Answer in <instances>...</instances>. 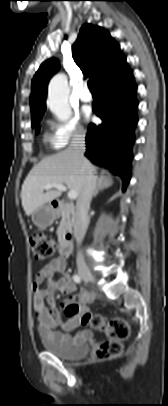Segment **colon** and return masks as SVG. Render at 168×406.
<instances>
[{
  "instance_id": "1",
  "label": "colon",
  "mask_w": 168,
  "mask_h": 406,
  "mask_svg": "<svg viewBox=\"0 0 168 406\" xmlns=\"http://www.w3.org/2000/svg\"><path fill=\"white\" fill-rule=\"evenodd\" d=\"M32 257L35 261H44L55 253V240L43 233H33L29 237ZM68 317L76 314V309L68 307L65 310ZM82 323L104 333L107 340L100 342L96 348V357L99 359H113L122 352V341L129 336V325L122 318H105L100 313L85 312L81 314Z\"/></svg>"
}]
</instances>
